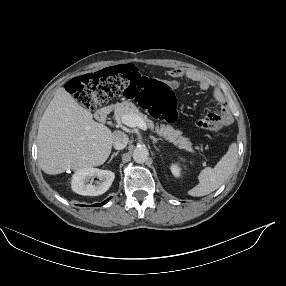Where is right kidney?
Instances as JSON below:
<instances>
[{
  "label": "right kidney",
  "mask_w": 286,
  "mask_h": 286,
  "mask_svg": "<svg viewBox=\"0 0 286 286\" xmlns=\"http://www.w3.org/2000/svg\"><path fill=\"white\" fill-rule=\"evenodd\" d=\"M99 181H92V178ZM115 175L112 171L97 168H84L75 172L72 177V190L84 196H98L105 193L111 186Z\"/></svg>",
  "instance_id": "obj_1"
}]
</instances>
